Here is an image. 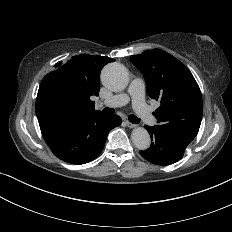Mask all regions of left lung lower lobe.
Returning a JSON list of instances; mask_svg holds the SVG:
<instances>
[{"mask_svg":"<svg viewBox=\"0 0 232 232\" xmlns=\"http://www.w3.org/2000/svg\"><path fill=\"white\" fill-rule=\"evenodd\" d=\"M151 136L152 143L147 150L140 151V155L156 165H170L179 161L188 144L156 129L145 126Z\"/></svg>","mask_w":232,"mask_h":232,"instance_id":"0a47b994","label":"left lung lower lobe"}]
</instances>
